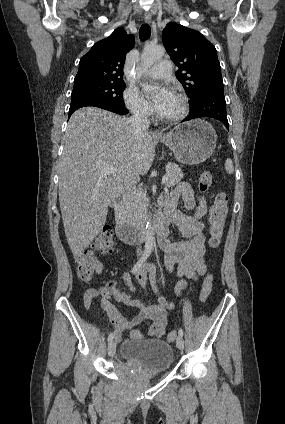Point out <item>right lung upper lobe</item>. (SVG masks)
Segmentation results:
<instances>
[{"label": "right lung upper lobe", "instance_id": "cb5924a9", "mask_svg": "<svg viewBox=\"0 0 285 424\" xmlns=\"http://www.w3.org/2000/svg\"><path fill=\"white\" fill-rule=\"evenodd\" d=\"M135 38L117 28L107 38L98 41L79 62L74 84L94 81H123L126 53L133 48Z\"/></svg>", "mask_w": 285, "mask_h": 424}]
</instances>
